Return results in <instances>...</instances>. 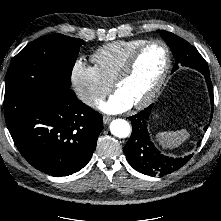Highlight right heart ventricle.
I'll return each instance as SVG.
<instances>
[{
    "instance_id": "obj_1",
    "label": "right heart ventricle",
    "mask_w": 221,
    "mask_h": 221,
    "mask_svg": "<svg viewBox=\"0 0 221 221\" xmlns=\"http://www.w3.org/2000/svg\"><path fill=\"white\" fill-rule=\"evenodd\" d=\"M146 39L119 40L99 47L92 55L100 74L110 83L123 67L129 55Z\"/></svg>"
}]
</instances>
